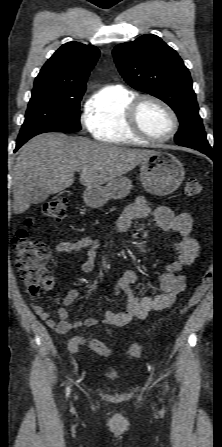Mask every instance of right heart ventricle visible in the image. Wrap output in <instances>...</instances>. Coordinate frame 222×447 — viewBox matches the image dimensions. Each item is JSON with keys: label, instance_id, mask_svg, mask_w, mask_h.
<instances>
[{"label": "right heart ventricle", "instance_id": "obj_1", "mask_svg": "<svg viewBox=\"0 0 222 447\" xmlns=\"http://www.w3.org/2000/svg\"><path fill=\"white\" fill-rule=\"evenodd\" d=\"M135 94L121 86L104 88L86 111L85 124L100 142L133 145L147 142L129 127L126 112Z\"/></svg>", "mask_w": 222, "mask_h": 447}]
</instances>
